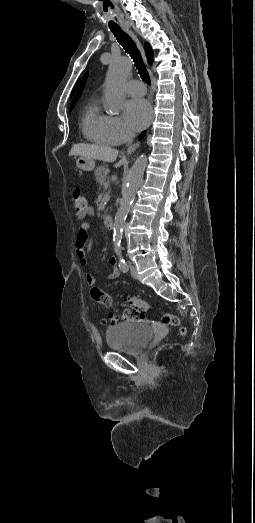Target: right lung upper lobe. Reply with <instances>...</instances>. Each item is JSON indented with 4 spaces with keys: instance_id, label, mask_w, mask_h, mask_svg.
<instances>
[{
    "instance_id": "obj_1",
    "label": "right lung upper lobe",
    "mask_w": 255,
    "mask_h": 523,
    "mask_svg": "<svg viewBox=\"0 0 255 523\" xmlns=\"http://www.w3.org/2000/svg\"><path fill=\"white\" fill-rule=\"evenodd\" d=\"M144 49H145V52H146V56L148 58V62L151 64L152 61H153L154 54H153V51H152V48H151L150 44L149 43H145ZM78 83L79 82L76 83V85H75V87H74V89L72 91L71 96L74 94V92H75V90H76V88L78 86ZM143 134H145V132H143Z\"/></svg>"
}]
</instances>
